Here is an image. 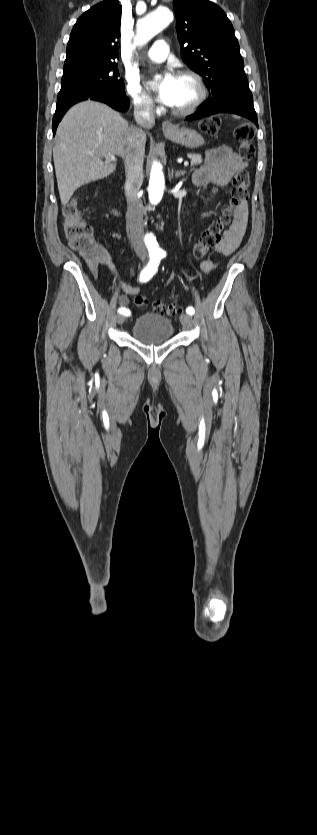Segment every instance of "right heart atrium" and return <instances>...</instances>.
Here are the masks:
<instances>
[{
  "instance_id": "1",
  "label": "right heart atrium",
  "mask_w": 317,
  "mask_h": 835,
  "mask_svg": "<svg viewBox=\"0 0 317 835\" xmlns=\"http://www.w3.org/2000/svg\"><path fill=\"white\" fill-rule=\"evenodd\" d=\"M125 91L137 112L146 115L155 112L156 106L153 99L142 89L137 79L127 76Z\"/></svg>"
}]
</instances>
